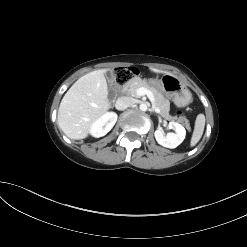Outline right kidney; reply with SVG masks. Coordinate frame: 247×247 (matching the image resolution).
Here are the masks:
<instances>
[{
  "mask_svg": "<svg viewBox=\"0 0 247 247\" xmlns=\"http://www.w3.org/2000/svg\"><path fill=\"white\" fill-rule=\"evenodd\" d=\"M117 117L114 112L105 113L91 124L90 134L96 138L105 136L115 125Z\"/></svg>",
  "mask_w": 247,
  "mask_h": 247,
  "instance_id": "ca27d5eb",
  "label": "right kidney"
}]
</instances>
